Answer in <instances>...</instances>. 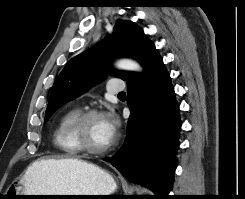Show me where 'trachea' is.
<instances>
[{"label": "trachea", "mask_w": 245, "mask_h": 199, "mask_svg": "<svg viewBox=\"0 0 245 199\" xmlns=\"http://www.w3.org/2000/svg\"><path fill=\"white\" fill-rule=\"evenodd\" d=\"M118 96H126L125 92H121L118 94Z\"/></svg>", "instance_id": "3493384b"}]
</instances>
